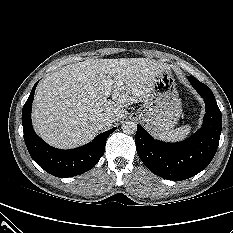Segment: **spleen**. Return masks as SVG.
<instances>
[{"mask_svg": "<svg viewBox=\"0 0 233 233\" xmlns=\"http://www.w3.org/2000/svg\"><path fill=\"white\" fill-rule=\"evenodd\" d=\"M191 126H181L175 130L159 133L157 138L167 142L182 141L190 135Z\"/></svg>", "mask_w": 233, "mask_h": 233, "instance_id": "3e777b00", "label": "spleen"}]
</instances>
